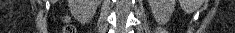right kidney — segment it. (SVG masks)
Returning <instances> with one entry per match:
<instances>
[{
	"mask_svg": "<svg viewBox=\"0 0 235 33\" xmlns=\"http://www.w3.org/2000/svg\"><path fill=\"white\" fill-rule=\"evenodd\" d=\"M100 0H69V8L77 18L90 19L96 13Z\"/></svg>",
	"mask_w": 235,
	"mask_h": 33,
	"instance_id": "1",
	"label": "right kidney"
}]
</instances>
